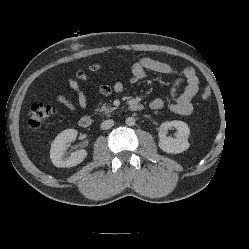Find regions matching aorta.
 <instances>
[{
    "label": "aorta",
    "mask_w": 249,
    "mask_h": 249,
    "mask_svg": "<svg viewBox=\"0 0 249 249\" xmlns=\"http://www.w3.org/2000/svg\"><path fill=\"white\" fill-rule=\"evenodd\" d=\"M126 124H127L128 126H133V125L135 124V119H134L133 117H128V118L126 119Z\"/></svg>",
    "instance_id": "762f6f07"
}]
</instances>
